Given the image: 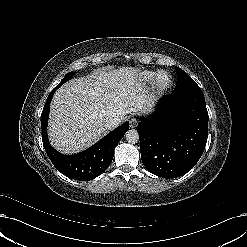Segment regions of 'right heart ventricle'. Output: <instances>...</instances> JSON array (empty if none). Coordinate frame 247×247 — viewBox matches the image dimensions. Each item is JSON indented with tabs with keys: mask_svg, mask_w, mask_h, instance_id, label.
Returning <instances> with one entry per match:
<instances>
[{
	"mask_svg": "<svg viewBox=\"0 0 247 247\" xmlns=\"http://www.w3.org/2000/svg\"><path fill=\"white\" fill-rule=\"evenodd\" d=\"M158 72L157 71H144L141 73V78L146 83H151L155 80Z\"/></svg>",
	"mask_w": 247,
	"mask_h": 247,
	"instance_id": "e07e8e85",
	"label": "right heart ventricle"
}]
</instances>
